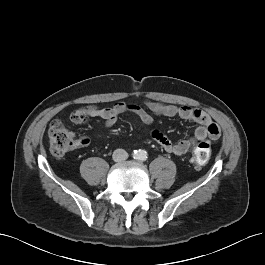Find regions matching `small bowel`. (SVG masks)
Masks as SVG:
<instances>
[{
	"label": "small bowel",
	"mask_w": 265,
	"mask_h": 265,
	"mask_svg": "<svg viewBox=\"0 0 265 265\" xmlns=\"http://www.w3.org/2000/svg\"><path fill=\"white\" fill-rule=\"evenodd\" d=\"M145 106L149 112L137 104L126 102H118L111 107L104 108L89 105L74 110L70 115V119L75 124H82L88 118L100 117L103 119L105 127L111 128L117 122L120 115L132 113L139 118L142 124H151L153 121L152 114L165 117H180L181 119L198 123L199 126L195 130L194 137L179 142H172L160 131H152V139L167 153L175 156L186 154L192 147L195 139L210 138L216 140L220 135L219 126L202 110L155 101H146ZM88 143V139H82V144L87 145Z\"/></svg>",
	"instance_id": "1"
}]
</instances>
